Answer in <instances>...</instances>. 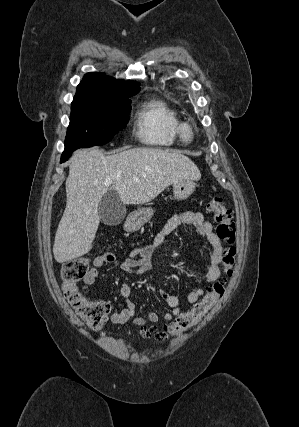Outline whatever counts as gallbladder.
Returning <instances> with one entry per match:
<instances>
[{
    "label": "gallbladder",
    "instance_id": "bac80fb5",
    "mask_svg": "<svg viewBox=\"0 0 299 427\" xmlns=\"http://www.w3.org/2000/svg\"><path fill=\"white\" fill-rule=\"evenodd\" d=\"M100 220L105 225L120 224L126 215V208L115 191L109 190L98 204Z\"/></svg>",
    "mask_w": 299,
    "mask_h": 427
}]
</instances>
